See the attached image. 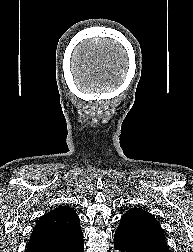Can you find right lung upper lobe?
I'll list each match as a JSON object with an SVG mask.
<instances>
[{"instance_id": "obj_1", "label": "right lung upper lobe", "mask_w": 193, "mask_h": 252, "mask_svg": "<svg viewBox=\"0 0 193 252\" xmlns=\"http://www.w3.org/2000/svg\"><path fill=\"white\" fill-rule=\"evenodd\" d=\"M82 233L79 217L67 206H60L42 216L33 228L26 252L59 246Z\"/></svg>"}]
</instances>
